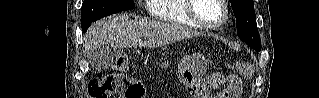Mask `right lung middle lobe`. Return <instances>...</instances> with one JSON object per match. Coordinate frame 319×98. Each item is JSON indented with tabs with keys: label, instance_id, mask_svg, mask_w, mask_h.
<instances>
[{
	"label": "right lung middle lobe",
	"instance_id": "1",
	"mask_svg": "<svg viewBox=\"0 0 319 98\" xmlns=\"http://www.w3.org/2000/svg\"><path fill=\"white\" fill-rule=\"evenodd\" d=\"M133 0H84L81 12V26H86L107 15L130 10Z\"/></svg>",
	"mask_w": 319,
	"mask_h": 98
}]
</instances>
